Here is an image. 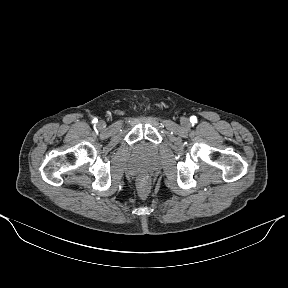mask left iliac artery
<instances>
[{"label": "left iliac artery", "mask_w": 288, "mask_h": 288, "mask_svg": "<svg viewBox=\"0 0 288 288\" xmlns=\"http://www.w3.org/2000/svg\"><path fill=\"white\" fill-rule=\"evenodd\" d=\"M190 122H191V123H196V122H197L196 116H191V117H190Z\"/></svg>", "instance_id": "44dca946"}]
</instances>
